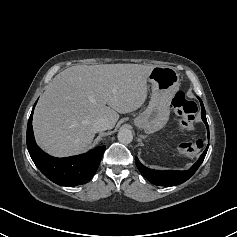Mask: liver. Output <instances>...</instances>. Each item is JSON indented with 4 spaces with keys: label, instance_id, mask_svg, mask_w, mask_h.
Here are the masks:
<instances>
[{
    "label": "liver",
    "instance_id": "1",
    "mask_svg": "<svg viewBox=\"0 0 237 237\" xmlns=\"http://www.w3.org/2000/svg\"><path fill=\"white\" fill-rule=\"evenodd\" d=\"M154 66L140 64L76 65L57 74L38 101L33 116L37 143L49 154L70 156L85 150L104 117L112 129L119 114L137 110L147 98Z\"/></svg>",
    "mask_w": 237,
    "mask_h": 237
}]
</instances>
